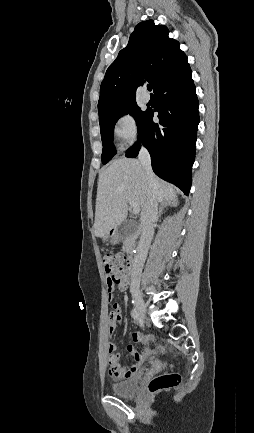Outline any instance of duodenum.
I'll use <instances>...</instances> for the list:
<instances>
[{
	"label": "duodenum",
	"mask_w": 254,
	"mask_h": 433,
	"mask_svg": "<svg viewBox=\"0 0 254 433\" xmlns=\"http://www.w3.org/2000/svg\"><path fill=\"white\" fill-rule=\"evenodd\" d=\"M127 262H128V266H129V273L131 274V276H134V274H135V267H136V263H135L134 257L130 256L128 258Z\"/></svg>",
	"instance_id": "410a0bca"
}]
</instances>
